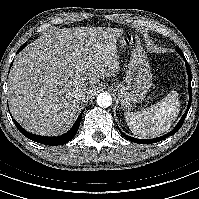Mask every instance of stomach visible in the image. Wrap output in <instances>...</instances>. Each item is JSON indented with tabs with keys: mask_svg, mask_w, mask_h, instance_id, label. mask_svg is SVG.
I'll return each mask as SVG.
<instances>
[{
	"mask_svg": "<svg viewBox=\"0 0 199 199\" xmlns=\"http://www.w3.org/2000/svg\"><path fill=\"white\" fill-rule=\"evenodd\" d=\"M118 42L122 48L130 50L131 57L125 79L112 84V89L122 107L125 110H131L146 97L152 85V73L149 60L137 35L124 32Z\"/></svg>",
	"mask_w": 199,
	"mask_h": 199,
	"instance_id": "0dacf381",
	"label": "stomach"
}]
</instances>
